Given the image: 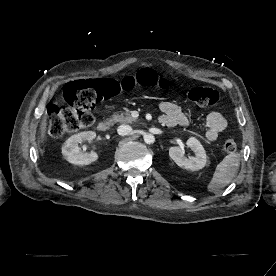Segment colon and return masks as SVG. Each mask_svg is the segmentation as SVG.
<instances>
[{"label":"colon","mask_w":276,"mask_h":276,"mask_svg":"<svg viewBox=\"0 0 276 276\" xmlns=\"http://www.w3.org/2000/svg\"><path fill=\"white\" fill-rule=\"evenodd\" d=\"M138 83L144 87H155L161 90L169 88V82L147 68L140 70L136 82L132 77L121 81L113 79L86 80L79 79L69 82L63 90L65 106L52 105L48 108V129L53 137H60L80 129L88 128L95 121L96 105L118 94L121 90H130ZM183 97L203 109L216 105L218 92L209 87H195L183 91ZM237 148L233 138H227L222 144L224 153H233Z\"/></svg>","instance_id":"colon-1"}]
</instances>
